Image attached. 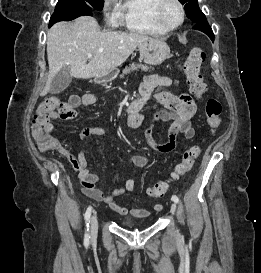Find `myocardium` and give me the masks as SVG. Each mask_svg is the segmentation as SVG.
Here are the masks:
<instances>
[{
  "label": "myocardium",
  "instance_id": "1",
  "mask_svg": "<svg viewBox=\"0 0 261 273\" xmlns=\"http://www.w3.org/2000/svg\"><path fill=\"white\" fill-rule=\"evenodd\" d=\"M167 3L175 4L178 7L179 12H180V19H179L178 23H176L173 26L167 25L162 19V11ZM152 16H153L154 21L156 22V24L159 27H161L163 30H165L167 32H170V31L176 30L177 28H179L183 24L184 19H185V10H184L182 3L179 0H157V3L153 7Z\"/></svg>",
  "mask_w": 261,
  "mask_h": 273
}]
</instances>
